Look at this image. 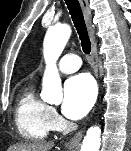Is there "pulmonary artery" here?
<instances>
[{
	"label": "pulmonary artery",
	"instance_id": "1",
	"mask_svg": "<svg viewBox=\"0 0 131 151\" xmlns=\"http://www.w3.org/2000/svg\"><path fill=\"white\" fill-rule=\"evenodd\" d=\"M81 66V59L78 55L68 53L64 55L58 64L59 70L62 73L69 74L77 71Z\"/></svg>",
	"mask_w": 131,
	"mask_h": 151
}]
</instances>
